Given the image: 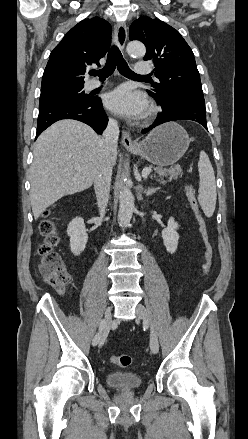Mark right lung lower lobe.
Listing matches in <instances>:
<instances>
[{
  "label": "right lung lower lobe",
  "mask_w": 248,
  "mask_h": 439,
  "mask_svg": "<svg viewBox=\"0 0 248 439\" xmlns=\"http://www.w3.org/2000/svg\"><path fill=\"white\" fill-rule=\"evenodd\" d=\"M61 119H74L91 126L101 134L106 128L108 118L100 98L91 100H72L39 110L36 138L51 124Z\"/></svg>",
  "instance_id": "obj_1"
}]
</instances>
